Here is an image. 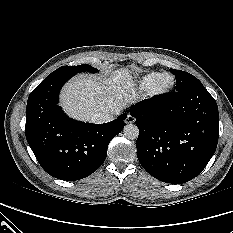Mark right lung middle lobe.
I'll return each mask as SVG.
<instances>
[{"instance_id": "obj_1", "label": "right lung middle lobe", "mask_w": 233, "mask_h": 233, "mask_svg": "<svg viewBox=\"0 0 233 233\" xmlns=\"http://www.w3.org/2000/svg\"><path fill=\"white\" fill-rule=\"evenodd\" d=\"M82 71H89V72H97L96 68L91 67L90 65H78V66H62L60 68H58L57 70H55L54 72H52L51 74H49L44 81H47L51 78L60 76V75H65V74H69L74 76L75 74L82 72Z\"/></svg>"}]
</instances>
